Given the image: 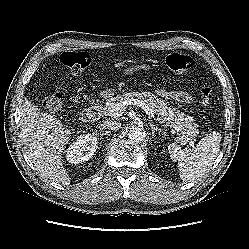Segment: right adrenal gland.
Here are the masks:
<instances>
[{"mask_svg": "<svg viewBox=\"0 0 249 249\" xmlns=\"http://www.w3.org/2000/svg\"><path fill=\"white\" fill-rule=\"evenodd\" d=\"M98 129H100L101 132H104L105 135H106V134H109L108 131H104V129H103L102 127H100V126H98Z\"/></svg>", "mask_w": 249, "mask_h": 249, "instance_id": "obj_1", "label": "right adrenal gland"}]
</instances>
